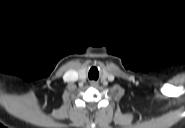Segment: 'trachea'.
<instances>
[{
  "mask_svg": "<svg viewBox=\"0 0 185 128\" xmlns=\"http://www.w3.org/2000/svg\"><path fill=\"white\" fill-rule=\"evenodd\" d=\"M88 77L90 80H97L99 77V71L96 67H92L89 70Z\"/></svg>",
  "mask_w": 185,
  "mask_h": 128,
  "instance_id": "obj_1",
  "label": "trachea"
}]
</instances>
